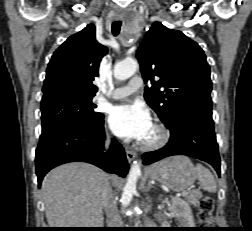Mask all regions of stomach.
Wrapping results in <instances>:
<instances>
[{
  "label": "stomach",
  "instance_id": "0dacf381",
  "mask_svg": "<svg viewBox=\"0 0 252 231\" xmlns=\"http://www.w3.org/2000/svg\"><path fill=\"white\" fill-rule=\"evenodd\" d=\"M147 176L174 191L189 189L196 178V168L186 156H172L146 169Z\"/></svg>",
  "mask_w": 252,
  "mask_h": 231
}]
</instances>
